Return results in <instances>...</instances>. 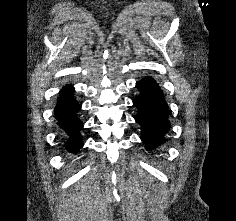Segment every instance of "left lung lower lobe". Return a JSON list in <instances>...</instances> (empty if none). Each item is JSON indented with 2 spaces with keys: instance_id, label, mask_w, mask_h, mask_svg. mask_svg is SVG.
I'll return each instance as SVG.
<instances>
[{
  "instance_id": "left-lung-lower-lobe-1",
  "label": "left lung lower lobe",
  "mask_w": 236,
  "mask_h": 221,
  "mask_svg": "<svg viewBox=\"0 0 236 221\" xmlns=\"http://www.w3.org/2000/svg\"><path fill=\"white\" fill-rule=\"evenodd\" d=\"M136 86L140 89L139 96L134 100L138 108L136 121L142 126V141L151 148L164 141L162 136L170 128L168 106L153 78L145 77Z\"/></svg>"
}]
</instances>
